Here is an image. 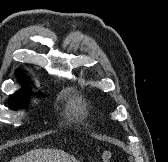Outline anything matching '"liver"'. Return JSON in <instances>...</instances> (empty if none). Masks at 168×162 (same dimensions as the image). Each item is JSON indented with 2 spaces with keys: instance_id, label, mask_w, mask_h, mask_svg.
<instances>
[{
  "instance_id": "6515ba94",
  "label": "liver",
  "mask_w": 168,
  "mask_h": 162,
  "mask_svg": "<svg viewBox=\"0 0 168 162\" xmlns=\"http://www.w3.org/2000/svg\"><path fill=\"white\" fill-rule=\"evenodd\" d=\"M10 162H79L75 157L58 149H35Z\"/></svg>"
}]
</instances>
